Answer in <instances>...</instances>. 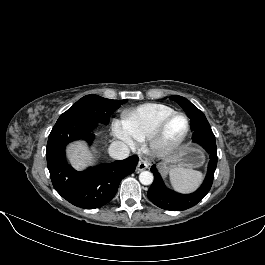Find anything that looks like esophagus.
<instances>
[{"instance_id":"esophagus-1","label":"esophagus","mask_w":265,"mask_h":265,"mask_svg":"<svg viewBox=\"0 0 265 265\" xmlns=\"http://www.w3.org/2000/svg\"><path fill=\"white\" fill-rule=\"evenodd\" d=\"M149 166V162L147 160L141 159L137 165L136 172L139 173L145 169H147Z\"/></svg>"}]
</instances>
